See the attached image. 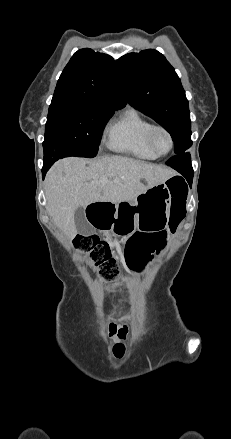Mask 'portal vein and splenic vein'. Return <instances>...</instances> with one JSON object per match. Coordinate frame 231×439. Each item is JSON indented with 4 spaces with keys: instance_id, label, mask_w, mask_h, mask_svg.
<instances>
[{
    "instance_id": "18ae733b",
    "label": "portal vein and splenic vein",
    "mask_w": 231,
    "mask_h": 439,
    "mask_svg": "<svg viewBox=\"0 0 231 439\" xmlns=\"http://www.w3.org/2000/svg\"><path fill=\"white\" fill-rule=\"evenodd\" d=\"M100 183L103 184V185H104V184H107V183H108V180H107V179H102V180L100 181Z\"/></svg>"
}]
</instances>
